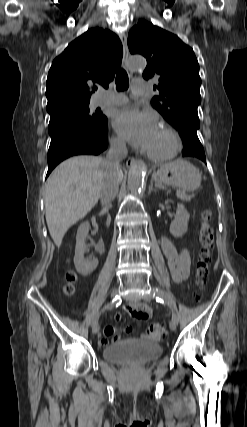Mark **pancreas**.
Instances as JSON below:
<instances>
[{
	"mask_svg": "<svg viewBox=\"0 0 247 427\" xmlns=\"http://www.w3.org/2000/svg\"><path fill=\"white\" fill-rule=\"evenodd\" d=\"M178 197H180L183 200H190L191 197H192V195H188V194H186L184 192H179L178 193Z\"/></svg>",
	"mask_w": 247,
	"mask_h": 427,
	"instance_id": "pancreas-1",
	"label": "pancreas"
}]
</instances>
